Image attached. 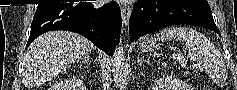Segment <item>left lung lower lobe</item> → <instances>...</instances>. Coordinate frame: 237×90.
Listing matches in <instances>:
<instances>
[{"label": "left lung lower lobe", "mask_w": 237, "mask_h": 90, "mask_svg": "<svg viewBox=\"0 0 237 90\" xmlns=\"http://www.w3.org/2000/svg\"><path fill=\"white\" fill-rule=\"evenodd\" d=\"M177 24L203 26L220 35L209 5L187 0H138L129 20L130 41Z\"/></svg>", "instance_id": "obj_1"}]
</instances>
